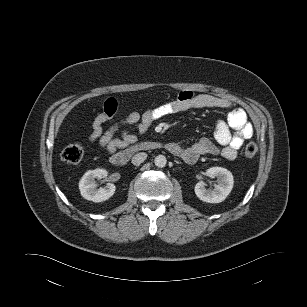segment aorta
<instances>
[{"label":"aorta","instance_id":"762f6f07","mask_svg":"<svg viewBox=\"0 0 307 307\" xmlns=\"http://www.w3.org/2000/svg\"><path fill=\"white\" fill-rule=\"evenodd\" d=\"M154 163L157 167L163 168V167L166 166L167 159L164 155H158V156L155 157Z\"/></svg>","mask_w":307,"mask_h":307}]
</instances>
